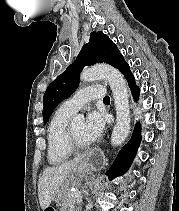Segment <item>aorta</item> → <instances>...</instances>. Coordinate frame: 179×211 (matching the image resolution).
<instances>
[{"mask_svg": "<svg viewBox=\"0 0 179 211\" xmlns=\"http://www.w3.org/2000/svg\"><path fill=\"white\" fill-rule=\"evenodd\" d=\"M101 79L107 80L112 90L116 108V123L111 135V144L119 146L126 140L130 131L131 116L127 85L120 71L106 64L87 68L80 75V80L86 83ZM76 118L83 120L81 116Z\"/></svg>", "mask_w": 179, "mask_h": 211, "instance_id": "obj_1", "label": "aorta"}]
</instances>
